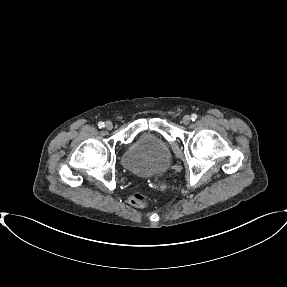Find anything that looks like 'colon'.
Returning a JSON list of instances; mask_svg holds the SVG:
<instances>
[{"mask_svg":"<svg viewBox=\"0 0 287 287\" xmlns=\"http://www.w3.org/2000/svg\"><path fill=\"white\" fill-rule=\"evenodd\" d=\"M129 203L137 208H143L148 205L149 198L148 196L140 191H135L129 196Z\"/></svg>","mask_w":287,"mask_h":287,"instance_id":"colon-1","label":"colon"}]
</instances>
